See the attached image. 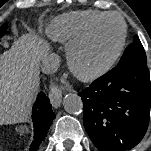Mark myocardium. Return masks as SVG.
Here are the masks:
<instances>
[{"label":"myocardium","instance_id":"obj_1","mask_svg":"<svg viewBox=\"0 0 151 151\" xmlns=\"http://www.w3.org/2000/svg\"><path fill=\"white\" fill-rule=\"evenodd\" d=\"M110 18L118 20L122 26L121 37L117 48L111 55V57L101 65L95 67H88L82 62V54L98 26L102 22ZM127 32L128 29L126 21L119 14L110 12L99 17L91 24L87 31L77 41L71 44L68 49V61L72 72L83 81H93L108 73L114 67V65L117 63V61L122 55L127 39Z\"/></svg>","mask_w":151,"mask_h":151}]
</instances>
